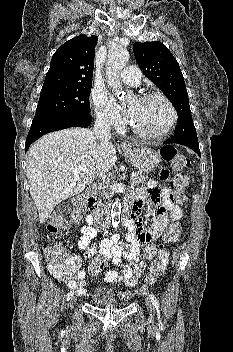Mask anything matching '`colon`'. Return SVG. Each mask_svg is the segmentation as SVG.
<instances>
[{
    "label": "colon",
    "mask_w": 233,
    "mask_h": 352,
    "mask_svg": "<svg viewBox=\"0 0 233 352\" xmlns=\"http://www.w3.org/2000/svg\"><path fill=\"white\" fill-rule=\"evenodd\" d=\"M160 155L162 159L170 164L175 170H181L189 164V160L182 154H180L176 147L172 145H164L160 149ZM162 180L170 179V170L168 168H163L160 173ZM187 185V178L182 175H178L175 178L176 190L172 194L175 202L183 204L186 200L184 194V188ZM85 209L84 201L82 198H77L74 202V208L68 216H63L60 214H54L48 223L47 230L51 236H54L59 228L67 227V225L76 221L81 217ZM181 234V226L179 223L170 224L163 233V245L160 247L164 250L167 244L175 242L179 239ZM43 254L48 261V267L50 272L58 277L63 278L70 275L74 268L68 262L67 258L63 255V248L58 243L45 244L42 248ZM110 260L105 254L99 253L96 255L89 263L88 272L90 277H96L101 273V271L107 267ZM164 270V264L161 259L154 260L147 271L145 281L147 285L154 284L157 279L162 275ZM129 292L127 290H121L120 296L123 298L129 297Z\"/></svg>",
    "instance_id": "1"
}]
</instances>
